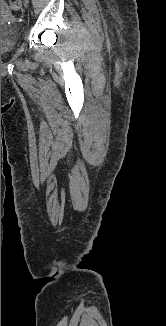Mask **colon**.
<instances>
[{
  "label": "colon",
  "instance_id": "colon-1",
  "mask_svg": "<svg viewBox=\"0 0 166 326\" xmlns=\"http://www.w3.org/2000/svg\"><path fill=\"white\" fill-rule=\"evenodd\" d=\"M9 5H10V8L13 9V10H17V9H19L20 6H21L19 0L11 1V2L9 3Z\"/></svg>",
  "mask_w": 166,
  "mask_h": 326
}]
</instances>
